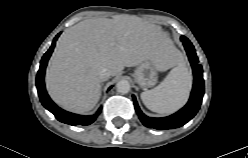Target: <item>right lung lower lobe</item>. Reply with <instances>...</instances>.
I'll return each instance as SVG.
<instances>
[{"instance_id":"obj_1","label":"right lung lower lobe","mask_w":248,"mask_h":158,"mask_svg":"<svg viewBox=\"0 0 248 158\" xmlns=\"http://www.w3.org/2000/svg\"><path fill=\"white\" fill-rule=\"evenodd\" d=\"M59 35H60V33L54 38L50 49L42 57V60L40 63V69H39V71L37 73V77H36V86H37V90H38V95H39L40 101L43 104V106L47 110H49L52 114H54V116L60 122H63V123L69 124V125H73V126H75V125L86 126V125H89L95 121L96 117L98 116V114L101 111V108L97 111L96 114H94L92 116H82V115H77V114H73V113L64 111L52 102V100L48 96L46 89H45L44 74H45L46 65H47L48 59L50 58V56L52 54L56 40L59 37Z\"/></svg>"}]
</instances>
